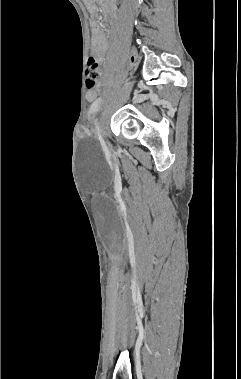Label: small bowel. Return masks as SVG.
<instances>
[{
  "mask_svg": "<svg viewBox=\"0 0 241 379\" xmlns=\"http://www.w3.org/2000/svg\"><path fill=\"white\" fill-rule=\"evenodd\" d=\"M107 49V42L104 37L103 31L99 26H95L92 37V53L94 58L101 62L104 59V53ZM98 93L95 89H90L86 93V97L90 102L98 103Z\"/></svg>",
  "mask_w": 241,
  "mask_h": 379,
  "instance_id": "c3829d8e",
  "label": "small bowel"
}]
</instances>
